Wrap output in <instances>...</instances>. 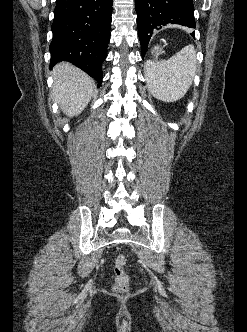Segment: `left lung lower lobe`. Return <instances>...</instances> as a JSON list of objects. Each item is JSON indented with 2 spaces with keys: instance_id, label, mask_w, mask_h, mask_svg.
Listing matches in <instances>:
<instances>
[{
  "instance_id": "left-lung-lower-lobe-1",
  "label": "left lung lower lobe",
  "mask_w": 247,
  "mask_h": 332,
  "mask_svg": "<svg viewBox=\"0 0 247 332\" xmlns=\"http://www.w3.org/2000/svg\"><path fill=\"white\" fill-rule=\"evenodd\" d=\"M135 9L142 57L151 37L162 26L171 23L196 27L192 0H135Z\"/></svg>"
}]
</instances>
